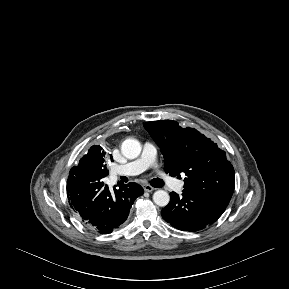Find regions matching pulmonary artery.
Here are the masks:
<instances>
[{
    "label": "pulmonary artery",
    "instance_id": "obj_1",
    "mask_svg": "<svg viewBox=\"0 0 289 289\" xmlns=\"http://www.w3.org/2000/svg\"><path fill=\"white\" fill-rule=\"evenodd\" d=\"M157 162V149L154 144L150 142H146L143 146V150L141 155L126 164L123 165H115L112 167V174L114 177L116 176H132L137 175L152 167ZM183 184L181 182H175L173 184L174 190H181Z\"/></svg>",
    "mask_w": 289,
    "mask_h": 289
}]
</instances>
